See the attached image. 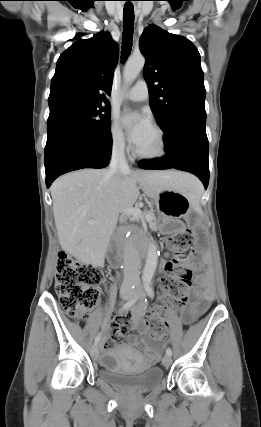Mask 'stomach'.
I'll return each mask as SVG.
<instances>
[{"mask_svg":"<svg viewBox=\"0 0 261 427\" xmlns=\"http://www.w3.org/2000/svg\"><path fill=\"white\" fill-rule=\"evenodd\" d=\"M154 200L157 212L162 218H181L191 209L189 196L176 189L162 190Z\"/></svg>","mask_w":261,"mask_h":427,"instance_id":"obj_1","label":"stomach"}]
</instances>
